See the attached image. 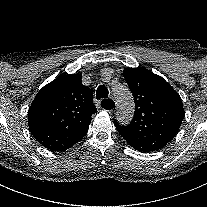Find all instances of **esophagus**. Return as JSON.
Segmentation results:
<instances>
[{
  "label": "esophagus",
  "mask_w": 207,
  "mask_h": 207,
  "mask_svg": "<svg viewBox=\"0 0 207 207\" xmlns=\"http://www.w3.org/2000/svg\"><path fill=\"white\" fill-rule=\"evenodd\" d=\"M100 106L108 113L114 112L117 108L116 103L108 98L103 99L100 103Z\"/></svg>",
  "instance_id": "obj_1"
}]
</instances>
